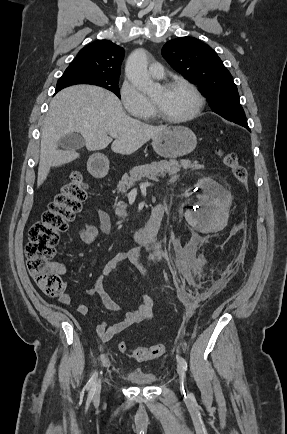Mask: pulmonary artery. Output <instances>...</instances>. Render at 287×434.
<instances>
[{
  "label": "pulmonary artery",
  "mask_w": 287,
  "mask_h": 434,
  "mask_svg": "<svg viewBox=\"0 0 287 434\" xmlns=\"http://www.w3.org/2000/svg\"><path fill=\"white\" fill-rule=\"evenodd\" d=\"M149 74L155 79H161L164 77V68L159 62H154L149 66Z\"/></svg>",
  "instance_id": "1"
}]
</instances>
